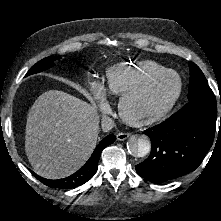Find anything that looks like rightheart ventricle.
I'll use <instances>...</instances> for the list:
<instances>
[{
  "label": "right heart ventricle",
  "instance_id": "1",
  "mask_svg": "<svg viewBox=\"0 0 221 221\" xmlns=\"http://www.w3.org/2000/svg\"><path fill=\"white\" fill-rule=\"evenodd\" d=\"M165 70L164 66L150 60L113 65L106 70V90L117 96L124 95Z\"/></svg>",
  "mask_w": 221,
  "mask_h": 221
}]
</instances>
